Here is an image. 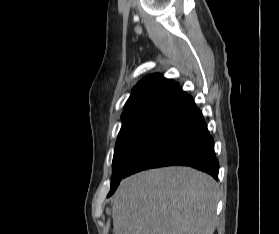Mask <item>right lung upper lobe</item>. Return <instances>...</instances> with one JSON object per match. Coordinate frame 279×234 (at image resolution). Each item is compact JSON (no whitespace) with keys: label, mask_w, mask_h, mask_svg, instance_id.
<instances>
[{"label":"right lung upper lobe","mask_w":279,"mask_h":234,"mask_svg":"<svg viewBox=\"0 0 279 234\" xmlns=\"http://www.w3.org/2000/svg\"><path fill=\"white\" fill-rule=\"evenodd\" d=\"M186 95L179 89L177 82L166 79L160 74H151L144 77L133 88L122 115L155 107L172 108Z\"/></svg>","instance_id":"right-lung-upper-lobe-1"}]
</instances>
